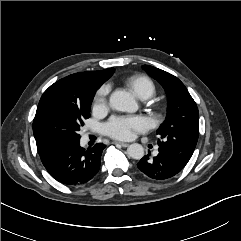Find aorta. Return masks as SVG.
I'll return each instance as SVG.
<instances>
[{
	"mask_svg": "<svg viewBox=\"0 0 241 241\" xmlns=\"http://www.w3.org/2000/svg\"><path fill=\"white\" fill-rule=\"evenodd\" d=\"M110 106L117 111L133 113L138 110V104L134 97L126 91H114L109 99ZM129 157L139 160L144 156V148L138 143L128 146Z\"/></svg>",
	"mask_w": 241,
	"mask_h": 241,
	"instance_id": "aorta-1",
	"label": "aorta"
}]
</instances>
